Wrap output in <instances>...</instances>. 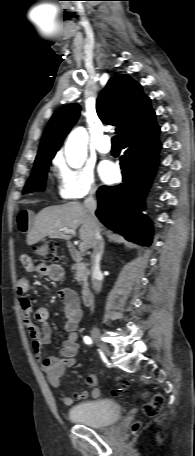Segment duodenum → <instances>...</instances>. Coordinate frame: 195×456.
I'll use <instances>...</instances> for the list:
<instances>
[{
	"instance_id": "410a0bca",
	"label": "duodenum",
	"mask_w": 195,
	"mask_h": 456,
	"mask_svg": "<svg viewBox=\"0 0 195 456\" xmlns=\"http://www.w3.org/2000/svg\"><path fill=\"white\" fill-rule=\"evenodd\" d=\"M68 250H69V253H70L71 257L74 260L79 261L81 259L80 253L76 250V248L72 244L68 245ZM81 296H82L83 303L85 305H89L91 303L92 292H91V290H90L88 285H84L82 287Z\"/></svg>"
}]
</instances>
